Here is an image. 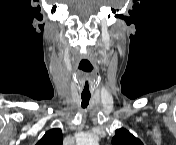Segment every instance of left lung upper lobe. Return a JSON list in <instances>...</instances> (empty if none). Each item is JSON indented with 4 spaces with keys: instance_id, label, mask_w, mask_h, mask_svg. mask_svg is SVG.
<instances>
[{
    "instance_id": "obj_1",
    "label": "left lung upper lobe",
    "mask_w": 176,
    "mask_h": 145,
    "mask_svg": "<svg viewBox=\"0 0 176 145\" xmlns=\"http://www.w3.org/2000/svg\"><path fill=\"white\" fill-rule=\"evenodd\" d=\"M112 145H143L142 142L134 137L124 128L117 129L115 136L112 138Z\"/></svg>"
}]
</instances>
